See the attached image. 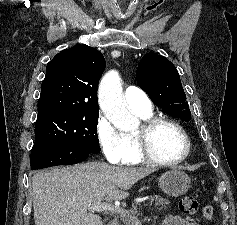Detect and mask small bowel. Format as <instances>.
Returning <instances> with one entry per match:
<instances>
[{
	"instance_id": "obj_1",
	"label": "small bowel",
	"mask_w": 237,
	"mask_h": 225,
	"mask_svg": "<svg viewBox=\"0 0 237 225\" xmlns=\"http://www.w3.org/2000/svg\"><path fill=\"white\" fill-rule=\"evenodd\" d=\"M163 225H200V224L193 219H188L177 215L167 217L164 220Z\"/></svg>"
}]
</instances>
